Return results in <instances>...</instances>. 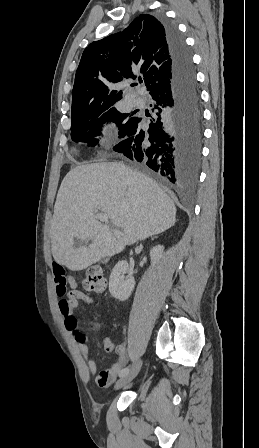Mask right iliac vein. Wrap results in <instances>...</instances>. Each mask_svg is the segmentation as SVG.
Returning <instances> with one entry per match:
<instances>
[{
  "instance_id": "1",
  "label": "right iliac vein",
  "mask_w": 259,
  "mask_h": 448,
  "mask_svg": "<svg viewBox=\"0 0 259 448\" xmlns=\"http://www.w3.org/2000/svg\"><path fill=\"white\" fill-rule=\"evenodd\" d=\"M142 366L141 360H137L133 365L132 368L129 370V372L122 376L115 384V389L118 390L131 382L139 373Z\"/></svg>"
}]
</instances>
